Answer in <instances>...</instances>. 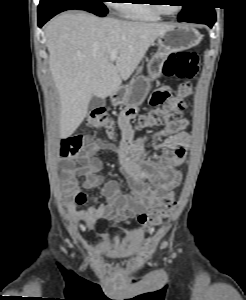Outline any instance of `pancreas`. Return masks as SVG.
<instances>
[{"instance_id": "1", "label": "pancreas", "mask_w": 246, "mask_h": 300, "mask_svg": "<svg viewBox=\"0 0 246 300\" xmlns=\"http://www.w3.org/2000/svg\"><path fill=\"white\" fill-rule=\"evenodd\" d=\"M141 70H142V68L140 67V68L138 69V71H137V72H138V73H140V72H141Z\"/></svg>"}]
</instances>
